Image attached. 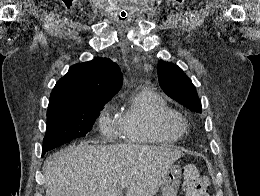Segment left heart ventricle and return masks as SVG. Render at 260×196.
Segmentation results:
<instances>
[{"label":"left heart ventricle","mask_w":260,"mask_h":196,"mask_svg":"<svg viewBox=\"0 0 260 196\" xmlns=\"http://www.w3.org/2000/svg\"><path fill=\"white\" fill-rule=\"evenodd\" d=\"M154 112L156 113V112H157V110L155 109V110H154Z\"/></svg>","instance_id":"obj_1"}]
</instances>
